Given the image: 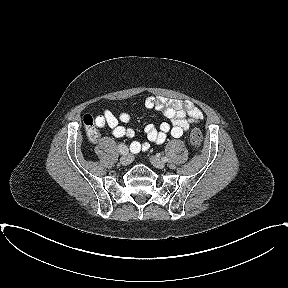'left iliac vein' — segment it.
I'll return each mask as SVG.
<instances>
[{"instance_id":"left-iliac-vein-1","label":"left iliac vein","mask_w":288,"mask_h":288,"mask_svg":"<svg viewBox=\"0 0 288 288\" xmlns=\"http://www.w3.org/2000/svg\"><path fill=\"white\" fill-rule=\"evenodd\" d=\"M150 162L152 163V165L158 169H163L165 167V163L158 158L157 156H151L150 157Z\"/></svg>"}]
</instances>
